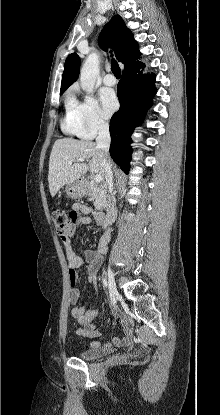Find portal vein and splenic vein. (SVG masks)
Instances as JSON below:
<instances>
[{"label":"portal vein and splenic vein","mask_w":220,"mask_h":415,"mask_svg":"<svg viewBox=\"0 0 220 415\" xmlns=\"http://www.w3.org/2000/svg\"><path fill=\"white\" fill-rule=\"evenodd\" d=\"M76 161L84 162V159L80 158V159H77ZM72 162H73L72 160L68 161L69 164H72ZM94 180H95V183L98 184V183L103 181V177L99 174H96L95 177H94Z\"/></svg>","instance_id":"18ae733b"}]
</instances>
